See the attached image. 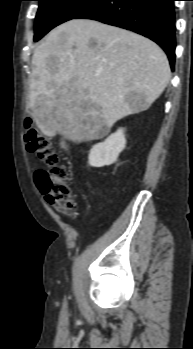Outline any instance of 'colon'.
<instances>
[{"mask_svg":"<svg viewBox=\"0 0 193 349\" xmlns=\"http://www.w3.org/2000/svg\"><path fill=\"white\" fill-rule=\"evenodd\" d=\"M24 139L28 150L48 166L47 170H39L35 174L37 187L59 213L73 216L76 211L75 195L68 185L67 168L60 163L51 139L39 131L30 119L25 121Z\"/></svg>","mask_w":193,"mask_h":349,"instance_id":"colon-1","label":"colon"}]
</instances>
